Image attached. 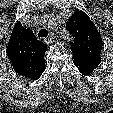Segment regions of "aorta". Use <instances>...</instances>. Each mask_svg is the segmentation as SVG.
Returning <instances> with one entry per match:
<instances>
[{
  "mask_svg": "<svg viewBox=\"0 0 113 113\" xmlns=\"http://www.w3.org/2000/svg\"><path fill=\"white\" fill-rule=\"evenodd\" d=\"M58 36L64 44H68L72 40V35L65 28H59Z\"/></svg>",
  "mask_w": 113,
  "mask_h": 113,
  "instance_id": "obj_1",
  "label": "aorta"
}]
</instances>
